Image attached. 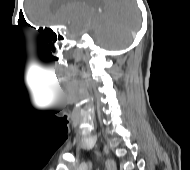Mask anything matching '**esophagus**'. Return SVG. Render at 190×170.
<instances>
[{
  "label": "esophagus",
  "instance_id": "esophagus-1",
  "mask_svg": "<svg viewBox=\"0 0 190 170\" xmlns=\"http://www.w3.org/2000/svg\"><path fill=\"white\" fill-rule=\"evenodd\" d=\"M105 164H106L107 170H117L116 164L112 159H107Z\"/></svg>",
  "mask_w": 190,
  "mask_h": 170
}]
</instances>
